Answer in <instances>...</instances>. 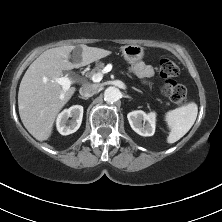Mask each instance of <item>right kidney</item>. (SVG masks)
Returning <instances> with one entry per match:
<instances>
[{"label":"right kidney","instance_id":"ca27d5eb","mask_svg":"<svg viewBox=\"0 0 222 222\" xmlns=\"http://www.w3.org/2000/svg\"><path fill=\"white\" fill-rule=\"evenodd\" d=\"M72 118L71 120H68ZM83 106L74 105L63 110L57 117L56 127L61 135H69L76 132L82 122Z\"/></svg>","mask_w":222,"mask_h":222}]
</instances>
